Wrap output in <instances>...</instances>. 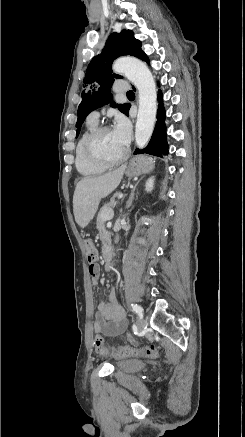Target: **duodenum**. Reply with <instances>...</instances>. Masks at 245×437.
I'll list each match as a JSON object with an SVG mask.
<instances>
[{
    "instance_id": "obj_1",
    "label": "duodenum",
    "mask_w": 245,
    "mask_h": 437,
    "mask_svg": "<svg viewBox=\"0 0 245 437\" xmlns=\"http://www.w3.org/2000/svg\"><path fill=\"white\" fill-rule=\"evenodd\" d=\"M113 257V249L110 246H107L103 250V258L105 261V269L109 270L112 266L111 260Z\"/></svg>"
}]
</instances>
